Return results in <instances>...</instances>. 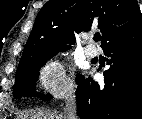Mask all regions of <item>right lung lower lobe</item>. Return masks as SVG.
Segmentation results:
<instances>
[{
  "label": "right lung lower lobe",
  "instance_id": "98d812e1",
  "mask_svg": "<svg viewBox=\"0 0 142 119\" xmlns=\"http://www.w3.org/2000/svg\"><path fill=\"white\" fill-rule=\"evenodd\" d=\"M110 57L104 84L83 76L77 81L81 119H140L142 112V33L103 49Z\"/></svg>",
  "mask_w": 142,
  "mask_h": 119
}]
</instances>
